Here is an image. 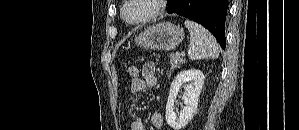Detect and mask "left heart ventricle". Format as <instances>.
Masks as SVG:
<instances>
[{"label": "left heart ventricle", "instance_id": "left-heart-ventricle-1", "mask_svg": "<svg viewBox=\"0 0 299 130\" xmlns=\"http://www.w3.org/2000/svg\"><path fill=\"white\" fill-rule=\"evenodd\" d=\"M149 8L145 5H135L127 9L126 16L128 19H136L145 13H147Z\"/></svg>", "mask_w": 299, "mask_h": 130}]
</instances>
